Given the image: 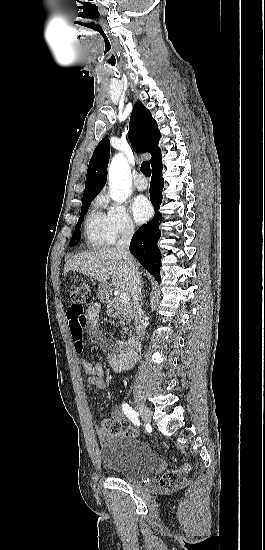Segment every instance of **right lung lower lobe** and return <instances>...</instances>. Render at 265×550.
I'll list each match as a JSON object with an SVG mask.
<instances>
[{
	"instance_id": "right-lung-lower-lobe-1",
	"label": "right lung lower lobe",
	"mask_w": 265,
	"mask_h": 550,
	"mask_svg": "<svg viewBox=\"0 0 265 550\" xmlns=\"http://www.w3.org/2000/svg\"><path fill=\"white\" fill-rule=\"evenodd\" d=\"M163 185L162 162L160 160L152 167L150 184V200L155 209V215L150 222L141 226L134 233L130 243V252L159 283L161 281L159 272L161 267V253L158 249L157 242L161 236L158 225L162 220V215L158 212V208L162 202Z\"/></svg>"
}]
</instances>
